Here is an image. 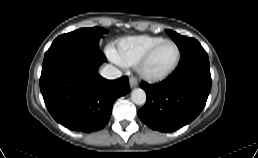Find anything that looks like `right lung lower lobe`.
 Masks as SVG:
<instances>
[{
  "label": "right lung lower lobe",
  "mask_w": 258,
  "mask_h": 158,
  "mask_svg": "<svg viewBox=\"0 0 258 158\" xmlns=\"http://www.w3.org/2000/svg\"><path fill=\"white\" fill-rule=\"evenodd\" d=\"M106 61L98 49L64 45L44 57L40 90L52 117L66 128L91 132L109 121L113 102L129 92L127 77L106 80L97 74Z\"/></svg>",
  "instance_id": "right-lung-lower-lobe-1"
}]
</instances>
